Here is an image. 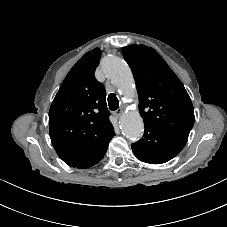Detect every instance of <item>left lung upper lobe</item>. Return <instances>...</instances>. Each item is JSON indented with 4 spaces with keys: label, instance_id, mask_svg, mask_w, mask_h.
Returning a JSON list of instances; mask_svg holds the SVG:
<instances>
[{
    "label": "left lung upper lobe",
    "instance_id": "1",
    "mask_svg": "<svg viewBox=\"0 0 227 227\" xmlns=\"http://www.w3.org/2000/svg\"><path fill=\"white\" fill-rule=\"evenodd\" d=\"M123 56L134 74L145 126L187 141L194 125V109L176 74L151 47L129 45L123 48Z\"/></svg>",
    "mask_w": 227,
    "mask_h": 227
}]
</instances>
